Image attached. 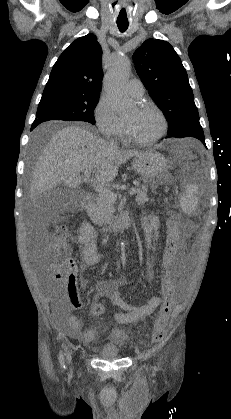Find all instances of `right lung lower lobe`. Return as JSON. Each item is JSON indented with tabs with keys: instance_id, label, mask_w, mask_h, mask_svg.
I'll return each mask as SVG.
<instances>
[{
	"instance_id": "right-lung-lower-lobe-1",
	"label": "right lung lower lobe",
	"mask_w": 231,
	"mask_h": 419,
	"mask_svg": "<svg viewBox=\"0 0 231 419\" xmlns=\"http://www.w3.org/2000/svg\"><path fill=\"white\" fill-rule=\"evenodd\" d=\"M36 126L37 124H32L31 130H33Z\"/></svg>"
}]
</instances>
